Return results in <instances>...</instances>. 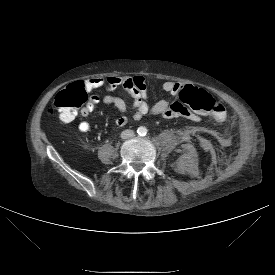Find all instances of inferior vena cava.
<instances>
[{"instance_id": "obj_1", "label": "inferior vena cava", "mask_w": 275, "mask_h": 275, "mask_svg": "<svg viewBox=\"0 0 275 275\" xmlns=\"http://www.w3.org/2000/svg\"><path fill=\"white\" fill-rule=\"evenodd\" d=\"M133 136H134V132H133V130H130V129H126V130L122 131V133H121L122 139H128Z\"/></svg>"}]
</instances>
